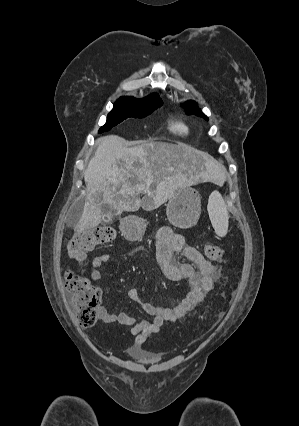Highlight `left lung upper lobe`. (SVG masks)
I'll use <instances>...</instances> for the list:
<instances>
[{
    "mask_svg": "<svg viewBox=\"0 0 299 426\" xmlns=\"http://www.w3.org/2000/svg\"><path fill=\"white\" fill-rule=\"evenodd\" d=\"M186 105L188 106V114H196L198 116L204 117L205 119H208V117L205 116L200 109H198L194 101H188L186 102Z\"/></svg>",
    "mask_w": 299,
    "mask_h": 426,
    "instance_id": "5c2ea615",
    "label": "left lung upper lobe"
}]
</instances>
